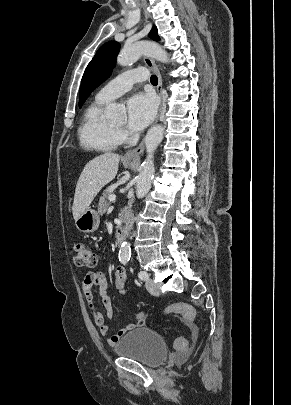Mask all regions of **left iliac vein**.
Instances as JSON below:
<instances>
[{"label":"left iliac vein","mask_w":291,"mask_h":405,"mask_svg":"<svg viewBox=\"0 0 291 405\" xmlns=\"http://www.w3.org/2000/svg\"><path fill=\"white\" fill-rule=\"evenodd\" d=\"M146 289L148 290V292L152 295H159V289L157 287V285L155 284V282L153 281V279L148 278L146 279Z\"/></svg>","instance_id":"4c4485c4"}]
</instances>
